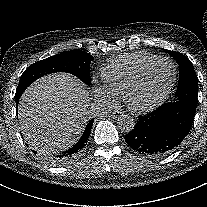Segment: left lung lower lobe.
Here are the masks:
<instances>
[{"label": "left lung lower lobe", "mask_w": 207, "mask_h": 207, "mask_svg": "<svg viewBox=\"0 0 207 207\" xmlns=\"http://www.w3.org/2000/svg\"><path fill=\"white\" fill-rule=\"evenodd\" d=\"M196 108L175 101L139 116L135 127L125 136L126 143L146 156L170 153L188 135Z\"/></svg>", "instance_id": "1"}]
</instances>
